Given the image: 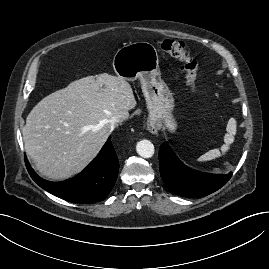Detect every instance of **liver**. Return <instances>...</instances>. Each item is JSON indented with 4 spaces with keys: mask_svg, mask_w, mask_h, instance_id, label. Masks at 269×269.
<instances>
[{
    "mask_svg": "<svg viewBox=\"0 0 269 269\" xmlns=\"http://www.w3.org/2000/svg\"><path fill=\"white\" fill-rule=\"evenodd\" d=\"M136 106L133 90L122 77L102 73L71 82L43 98L23 128L27 154L37 171L63 180L83 170L113 130L112 116L128 119Z\"/></svg>",
    "mask_w": 269,
    "mask_h": 269,
    "instance_id": "liver-1",
    "label": "liver"
}]
</instances>
